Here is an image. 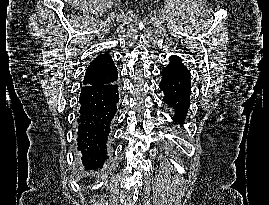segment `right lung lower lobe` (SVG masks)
<instances>
[{"instance_id": "98d812e1", "label": "right lung lower lobe", "mask_w": 269, "mask_h": 205, "mask_svg": "<svg viewBox=\"0 0 269 205\" xmlns=\"http://www.w3.org/2000/svg\"><path fill=\"white\" fill-rule=\"evenodd\" d=\"M116 80L103 85H85L81 89L77 142L85 169H102L109 158L106 144L119 101Z\"/></svg>"}]
</instances>
